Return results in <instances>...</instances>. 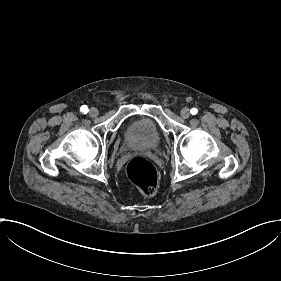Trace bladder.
I'll list each match as a JSON object with an SVG mask.
<instances>
[{"mask_svg":"<svg viewBox=\"0 0 281 281\" xmlns=\"http://www.w3.org/2000/svg\"><path fill=\"white\" fill-rule=\"evenodd\" d=\"M126 140L137 147L152 149L158 146L160 134L149 118H140L130 123L125 131Z\"/></svg>","mask_w":281,"mask_h":281,"instance_id":"1","label":"bladder"}]
</instances>
